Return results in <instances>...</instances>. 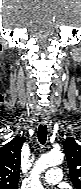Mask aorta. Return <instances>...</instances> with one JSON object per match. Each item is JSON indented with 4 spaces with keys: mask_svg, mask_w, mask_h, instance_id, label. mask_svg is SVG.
I'll list each match as a JSON object with an SVG mask.
<instances>
[{
    "mask_svg": "<svg viewBox=\"0 0 81 189\" xmlns=\"http://www.w3.org/2000/svg\"><path fill=\"white\" fill-rule=\"evenodd\" d=\"M63 157L64 156L60 151H52L48 154L42 155L36 162L34 168L31 170V189H44L39 181L41 172L49 167L59 165L63 161Z\"/></svg>",
    "mask_w": 81,
    "mask_h": 189,
    "instance_id": "762f6f07",
    "label": "aorta"
}]
</instances>
